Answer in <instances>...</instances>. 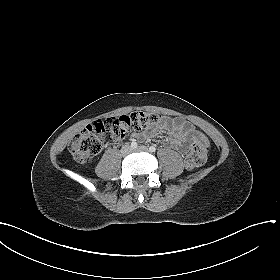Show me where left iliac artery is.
<instances>
[{
	"label": "left iliac artery",
	"instance_id": "left-iliac-artery-1",
	"mask_svg": "<svg viewBox=\"0 0 280 280\" xmlns=\"http://www.w3.org/2000/svg\"><path fill=\"white\" fill-rule=\"evenodd\" d=\"M149 151H150V152H155V151H156V147H155V146H151V147L149 148Z\"/></svg>",
	"mask_w": 280,
	"mask_h": 280
}]
</instances>
